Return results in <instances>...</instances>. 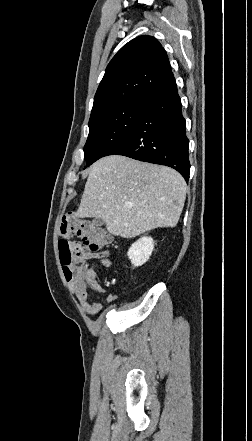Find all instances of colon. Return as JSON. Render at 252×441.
Returning a JSON list of instances; mask_svg holds the SVG:
<instances>
[{
  "mask_svg": "<svg viewBox=\"0 0 252 441\" xmlns=\"http://www.w3.org/2000/svg\"><path fill=\"white\" fill-rule=\"evenodd\" d=\"M61 238L58 250L64 275L67 280L79 283L84 277L83 252H100L110 238L106 231L89 220L77 218L73 213H67L61 224ZM75 235L79 241H70L67 237Z\"/></svg>",
  "mask_w": 252,
  "mask_h": 441,
  "instance_id": "obj_1",
  "label": "colon"
}]
</instances>
